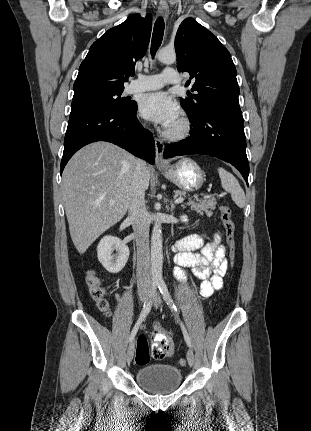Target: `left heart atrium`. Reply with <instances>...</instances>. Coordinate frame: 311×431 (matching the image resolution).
<instances>
[{"label":"left heart atrium","mask_w":311,"mask_h":431,"mask_svg":"<svg viewBox=\"0 0 311 431\" xmlns=\"http://www.w3.org/2000/svg\"><path fill=\"white\" fill-rule=\"evenodd\" d=\"M140 113L154 123L170 129L178 122L180 109L168 93L154 92L142 98Z\"/></svg>","instance_id":"1"}]
</instances>
